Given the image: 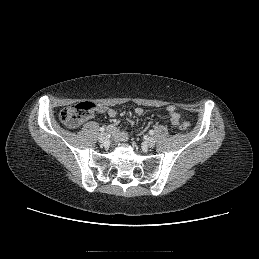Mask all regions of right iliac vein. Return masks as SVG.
<instances>
[{"instance_id": "right-iliac-vein-1", "label": "right iliac vein", "mask_w": 259, "mask_h": 259, "mask_svg": "<svg viewBox=\"0 0 259 259\" xmlns=\"http://www.w3.org/2000/svg\"><path fill=\"white\" fill-rule=\"evenodd\" d=\"M99 142L102 144H106L108 142L107 135L105 133H101L98 138Z\"/></svg>"}]
</instances>
